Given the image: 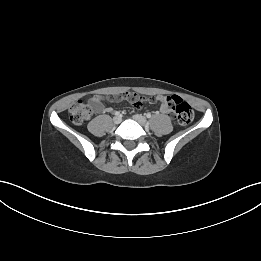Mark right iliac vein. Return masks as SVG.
<instances>
[{
  "label": "right iliac vein",
  "mask_w": 261,
  "mask_h": 261,
  "mask_svg": "<svg viewBox=\"0 0 261 261\" xmlns=\"http://www.w3.org/2000/svg\"><path fill=\"white\" fill-rule=\"evenodd\" d=\"M121 121H122L121 116H114V117H113V122H114L115 124H120Z\"/></svg>",
  "instance_id": "right-iliac-vein-1"
}]
</instances>
